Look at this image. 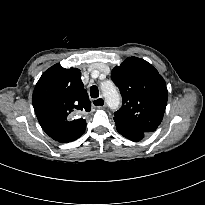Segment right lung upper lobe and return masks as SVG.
Returning a JSON list of instances; mask_svg holds the SVG:
<instances>
[{
  "mask_svg": "<svg viewBox=\"0 0 205 205\" xmlns=\"http://www.w3.org/2000/svg\"><path fill=\"white\" fill-rule=\"evenodd\" d=\"M33 107L43 130L56 128L54 138L71 142L85 131L86 121L73 117L89 112L91 102L77 68L55 64L46 70L33 92Z\"/></svg>",
  "mask_w": 205,
  "mask_h": 205,
  "instance_id": "obj_1",
  "label": "right lung upper lobe"
}]
</instances>
